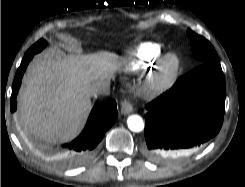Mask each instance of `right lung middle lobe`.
<instances>
[{
	"label": "right lung middle lobe",
	"instance_id": "right-lung-middle-lobe-1",
	"mask_svg": "<svg viewBox=\"0 0 245 187\" xmlns=\"http://www.w3.org/2000/svg\"><path fill=\"white\" fill-rule=\"evenodd\" d=\"M46 41L44 39H40L37 43H35L26 53H38L41 50H43V48H45L46 46Z\"/></svg>",
	"mask_w": 245,
	"mask_h": 187
}]
</instances>
